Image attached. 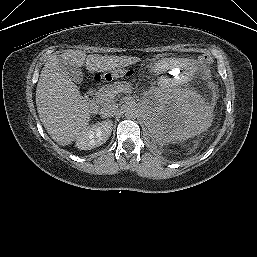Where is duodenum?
<instances>
[{
	"mask_svg": "<svg viewBox=\"0 0 257 257\" xmlns=\"http://www.w3.org/2000/svg\"><path fill=\"white\" fill-rule=\"evenodd\" d=\"M85 107L90 113H93L96 110V102L92 90H88L85 94Z\"/></svg>",
	"mask_w": 257,
	"mask_h": 257,
	"instance_id": "obj_1",
	"label": "duodenum"
}]
</instances>
